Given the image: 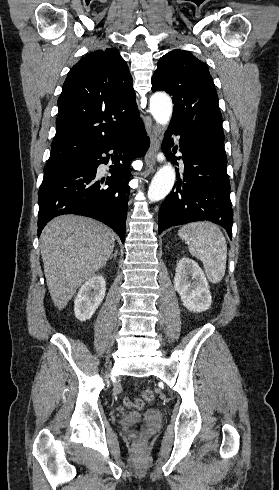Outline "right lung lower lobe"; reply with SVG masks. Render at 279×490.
Returning <instances> with one entry per match:
<instances>
[{
    "label": "right lung lower lobe",
    "instance_id": "98d812e1",
    "mask_svg": "<svg viewBox=\"0 0 279 490\" xmlns=\"http://www.w3.org/2000/svg\"><path fill=\"white\" fill-rule=\"evenodd\" d=\"M149 145V137L141 123L73 161V165L61 172L44 179L38 191V236L54 217L77 214L105 223L124 242L130 193L129 164L137 156H143ZM109 151H113V154H108ZM103 153L107 157H103ZM109 159L115 164L111 166L112 175L106 180H98L97 167L101 163L107 164Z\"/></svg>",
    "mask_w": 279,
    "mask_h": 490
}]
</instances>
